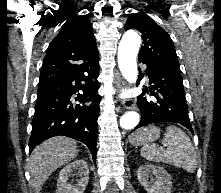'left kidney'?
I'll use <instances>...</instances> for the list:
<instances>
[{
	"instance_id": "obj_1",
	"label": "left kidney",
	"mask_w": 221,
	"mask_h": 193,
	"mask_svg": "<svg viewBox=\"0 0 221 193\" xmlns=\"http://www.w3.org/2000/svg\"><path fill=\"white\" fill-rule=\"evenodd\" d=\"M137 178L148 193H171V176L160 166L152 164L140 166Z\"/></svg>"
}]
</instances>
